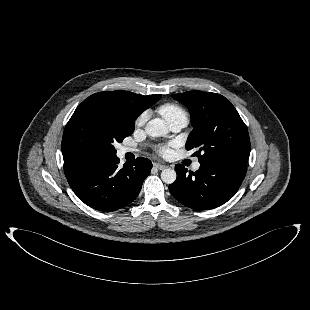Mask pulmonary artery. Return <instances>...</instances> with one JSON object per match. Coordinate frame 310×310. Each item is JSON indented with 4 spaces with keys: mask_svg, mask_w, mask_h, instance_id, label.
I'll use <instances>...</instances> for the list:
<instances>
[{
    "mask_svg": "<svg viewBox=\"0 0 310 310\" xmlns=\"http://www.w3.org/2000/svg\"><path fill=\"white\" fill-rule=\"evenodd\" d=\"M187 120H184V119H176V120H173L169 123V127L172 131H179L181 130L182 128H184L186 125H187ZM134 151L133 149L131 148H128V147H123L120 149V156H123L125 153H128V152H132ZM200 168V163L199 162H195L193 165H192V169L193 170H198Z\"/></svg>",
    "mask_w": 310,
    "mask_h": 310,
    "instance_id": "pulmonary-artery-1",
    "label": "pulmonary artery"
}]
</instances>
